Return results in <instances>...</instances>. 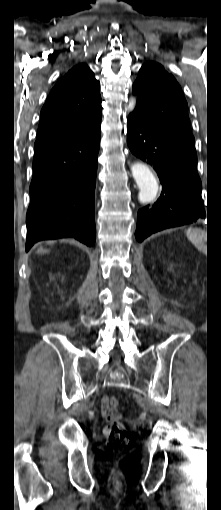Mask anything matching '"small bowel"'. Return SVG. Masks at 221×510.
<instances>
[{
	"label": "small bowel",
	"mask_w": 221,
	"mask_h": 510,
	"mask_svg": "<svg viewBox=\"0 0 221 510\" xmlns=\"http://www.w3.org/2000/svg\"><path fill=\"white\" fill-rule=\"evenodd\" d=\"M109 401L110 398L108 396H103V398L101 399V412L105 417H107L110 411Z\"/></svg>",
	"instance_id": "1"
}]
</instances>
